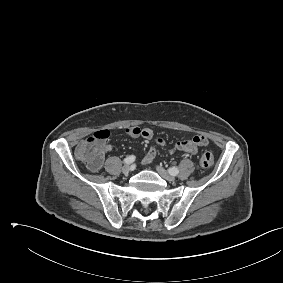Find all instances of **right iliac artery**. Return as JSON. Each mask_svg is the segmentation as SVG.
<instances>
[{
	"label": "right iliac artery",
	"mask_w": 283,
	"mask_h": 283,
	"mask_svg": "<svg viewBox=\"0 0 283 283\" xmlns=\"http://www.w3.org/2000/svg\"><path fill=\"white\" fill-rule=\"evenodd\" d=\"M135 161V156L134 155H130V156H128V157H126L125 159H124V163H126V164H131V163H133Z\"/></svg>",
	"instance_id": "right-iliac-artery-1"
}]
</instances>
